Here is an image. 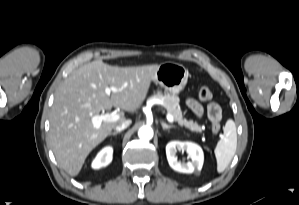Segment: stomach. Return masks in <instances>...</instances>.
I'll return each mask as SVG.
<instances>
[{"mask_svg":"<svg viewBox=\"0 0 299 205\" xmlns=\"http://www.w3.org/2000/svg\"><path fill=\"white\" fill-rule=\"evenodd\" d=\"M188 75L182 64L165 62L159 65L153 81L173 95H178L185 88Z\"/></svg>","mask_w":299,"mask_h":205,"instance_id":"obj_1","label":"stomach"}]
</instances>
